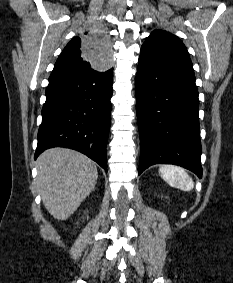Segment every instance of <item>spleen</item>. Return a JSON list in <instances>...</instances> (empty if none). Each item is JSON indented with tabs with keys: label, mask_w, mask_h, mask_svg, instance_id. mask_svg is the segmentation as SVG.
Returning a JSON list of instances; mask_svg holds the SVG:
<instances>
[{
	"label": "spleen",
	"mask_w": 233,
	"mask_h": 283,
	"mask_svg": "<svg viewBox=\"0 0 233 283\" xmlns=\"http://www.w3.org/2000/svg\"><path fill=\"white\" fill-rule=\"evenodd\" d=\"M159 174L170 186L183 191H191L194 188L192 178L186 173L183 168L164 165L159 168Z\"/></svg>",
	"instance_id": "obj_1"
}]
</instances>
